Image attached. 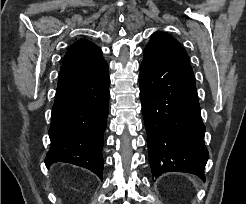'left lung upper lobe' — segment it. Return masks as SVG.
Segmentation results:
<instances>
[{
    "mask_svg": "<svg viewBox=\"0 0 246 204\" xmlns=\"http://www.w3.org/2000/svg\"><path fill=\"white\" fill-rule=\"evenodd\" d=\"M146 47L154 48L167 56L189 63L188 55L182 45L166 33L155 32Z\"/></svg>",
    "mask_w": 246,
    "mask_h": 204,
    "instance_id": "1",
    "label": "left lung upper lobe"
}]
</instances>
